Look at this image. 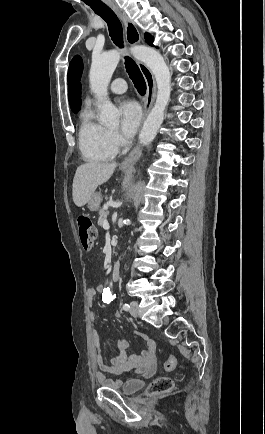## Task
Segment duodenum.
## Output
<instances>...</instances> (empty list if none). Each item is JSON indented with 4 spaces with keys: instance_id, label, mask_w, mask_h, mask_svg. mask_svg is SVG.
<instances>
[{
    "instance_id": "duodenum-1",
    "label": "duodenum",
    "mask_w": 265,
    "mask_h": 434,
    "mask_svg": "<svg viewBox=\"0 0 265 434\" xmlns=\"http://www.w3.org/2000/svg\"><path fill=\"white\" fill-rule=\"evenodd\" d=\"M121 273V261H115L111 266V271L109 275V280L111 282H116L120 278Z\"/></svg>"
}]
</instances>
